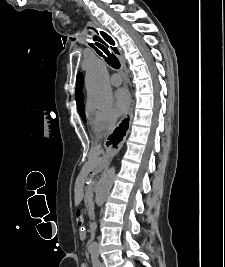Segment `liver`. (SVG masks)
<instances>
[{"label": "liver", "instance_id": "6515ba94", "mask_svg": "<svg viewBox=\"0 0 225 267\" xmlns=\"http://www.w3.org/2000/svg\"><path fill=\"white\" fill-rule=\"evenodd\" d=\"M101 154L104 155V151L99 145L93 147L90 150L88 162L84 165L80 173V178L86 177L90 170H93V169H96L102 166L104 159L99 157ZM82 198H83V184H77L75 188V205L76 206L81 202Z\"/></svg>", "mask_w": 225, "mask_h": 267}]
</instances>
